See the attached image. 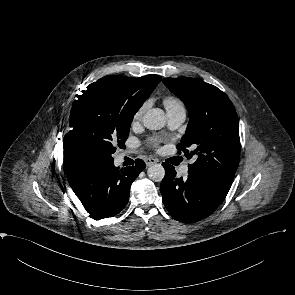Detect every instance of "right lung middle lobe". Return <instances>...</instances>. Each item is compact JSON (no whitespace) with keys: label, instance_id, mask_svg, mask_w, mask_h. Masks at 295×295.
Wrapping results in <instances>:
<instances>
[{"label":"right lung middle lobe","instance_id":"right-lung-middle-lobe-1","mask_svg":"<svg viewBox=\"0 0 295 295\" xmlns=\"http://www.w3.org/2000/svg\"><path fill=\"white\" fill-rule=\"evenodd\" d=\"M65 142L83 164L113 161L124 148L135 113L147 99L141 78L106 76L77 96Z\"/></svg>","mask_w":295,"mask_h":295}]
</instances>
